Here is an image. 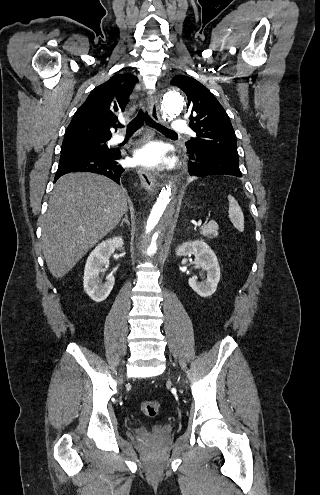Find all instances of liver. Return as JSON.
I'll return each instance as SVG.
<instances>
[{"instance_id": "1", "label": "liver", "mask_w": 320, "mask_h": 495, "mask_svg": "<svg viewBox=\"0 0 320 495\" xmlns=\"http://www.w3.org/2000/svg\"><path fill=\"white\" fill-rule=\"evenodd\" d=\"M127 210L125 190L108 178L80 172L61 176L42 225V251L52 276H65Z\"/></svg>"}]
</instances>
